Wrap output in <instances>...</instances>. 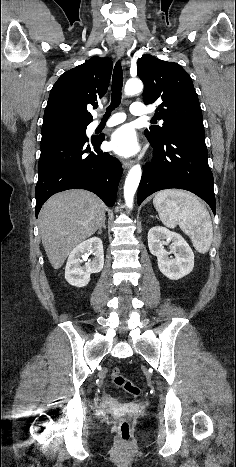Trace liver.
Returning a JSON list of instances; mask_svg holds the SVG:
<instances>
[{"instance_id":"liver-1","label":"liver","mask_w":236,"mask_h":467,"mask_svg":"<svg viewBox=\"0 0 236 467\" xmlns=\"http://www.w3.org/2000/svg\"><path fill=\"white\" fill-rule=\"evenodd\" d=\"M105 219V204L92 192L73 189L50 197L39 213V230L54 269L71 251L92 236Z\"/></svg>"}]
</instances>
